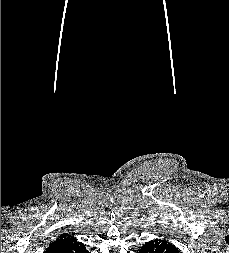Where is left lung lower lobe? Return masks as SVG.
<instances>
[{"mask_svg":"<svg viewBox=\"0 0 229 253\" xmlns=\"http://www.w3.org/2000/svg\"><path fill=\"white\" fill-rule=\"evenodd\" d=\"M139 253H180L179 250L172 244L165 240L155 239L145 243Z\"/></svg>","mask_w":229,"mask_h":253,"instance_id":"left-lung-lower-lobe-1","label":"left lung lower lobe"}]
</instances>
